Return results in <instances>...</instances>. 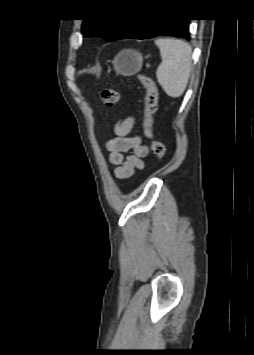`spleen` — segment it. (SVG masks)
Returning a JSON list of instances; mask_svg holds the SVG:
<instances>
[{"mask_svg": "<svg viewBox=\"0 0 254 355\" xmlns=\"http://www.w3.org/2000/svg\"><path fill=\"white\" fill-rule=\"evenodd\" d=\"M161 54L162 62L156 71L159 85L172 97H180L190 77L192 49L182 40L161 38L155 41Z\"/></svg>", "mask_w": 254, "mask_h": 355, "instance_id": "spleen-1", "label": "spleen"}]
</instances>
